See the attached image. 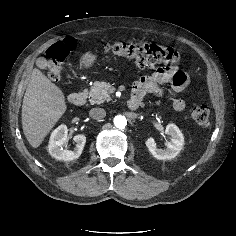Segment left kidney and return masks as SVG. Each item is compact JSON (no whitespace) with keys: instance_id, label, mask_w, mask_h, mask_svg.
<instances>
[{"instance_id":"obj_1","label":"left kidney","mask_w":236,"mask_h":236,"mask_svg":"<svg viewBox=\"0 0 236 236\" xmlns=\"http://www.w3.org/2000/svg\"><path fill=\"white\" fill-rule=\"evenodd\" d=\"M165 132L171 136V141L167 143L166 149L158 148L152 137L148 138L145 142L149 152L159 160L175 158L184 147L183 134L175 124H168Z\"/></svg>"}]
</instances>
